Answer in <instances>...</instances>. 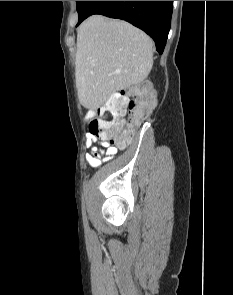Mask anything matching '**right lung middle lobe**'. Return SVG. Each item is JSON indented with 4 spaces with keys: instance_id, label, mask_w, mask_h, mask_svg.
Instances as JSON below:
<instances>
[{
    "instance_id": "1",
    "label": "right lung middle lobe",
    "mask_w": 233,
    "mask_h": 295,
    "mask_svg": "<svg viewBox=\"0 0 233 295\" xmlns=\"http://www.w3.org/2000/svg\"><path fill=\"white\" fill-rule=\"evenodd\" d=\"M76 3H77V12H78L79 19H80L88 1H76Z\"/></svg>"
}]
</instances>
